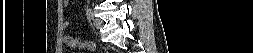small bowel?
<instances>
[{
    "mask_svg": "<svg viewBox=\"0 0 253 53\" xmlns=\"http://www.w3.org/2000/svg\"><path fill=\"white\" fill-rule=\"evenodd\" d=\"M64 29L69 27V21L65 20L63 22ZM65 44L69 47H78L79 40L76 39L73 35L67 34L64 38Z\"/></svg>",
    "mask_w": 253,
    "mask_h": 53,
    "instance_id": "1",
    "label": "small bowel"
}]
</instances>
